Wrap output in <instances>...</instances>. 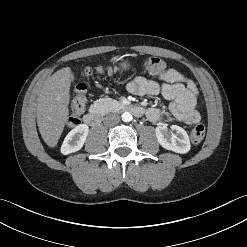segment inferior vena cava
<instances>
[{
    "mask_svg": "<svg viewBox=\"0 0 247 247\" xmlns=\"http://www.w3.org/2000/svg\"><path fill=\"white\" fill-rule=\"evenodd\" d=\"M120 121V116L118 114H109L104 118V123L106 125H115Z\"/></svg>",
    "mask_w": 247,
    "mask_h": 247,
    "instance_id": "1",
    "label": "inferior vena cava"
}]
</instances>
